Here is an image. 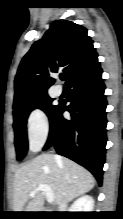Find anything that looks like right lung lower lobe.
I'll return each mask as SVG.
<instances>
[{"mask_svg": "<svg viewBox=\"0 0 123 219\" xmlns=\"http://www.w3.org/2000/svg\"><path fill=\"white\" fill-rule=\"evenodd\" d=\"M70 105L60 102L50 119V132L43 150L52 144L57 153L87 168L101 185L106 146L105 85L97 57L66 82ZM71 113V119L62 113Z\"/></svg>", "mask_w": 123, "mask_h": 219, "instance_id": "1", "label": "right lung lower lobe"}]
</instances>
